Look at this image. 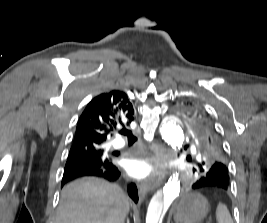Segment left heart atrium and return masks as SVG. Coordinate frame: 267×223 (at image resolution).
<instances>
[{
  "label": "left heart atrium",
  "instance_id": "39dd6f15",
  "mask_svg": "<svg viewBox=\"0 0 267 223\" xmlns=\"http://www.w3.org/2000/svg\"><path fill=\"white\" fill-rule=\"evenodd\" d=\"M125 168L129 175L136 178H145L153 172V164L150 160L136 156L130 158L125 163Z\"/></svg>",
  "mask_w": 267,
  "mask_h": 223
}]
</instances>
